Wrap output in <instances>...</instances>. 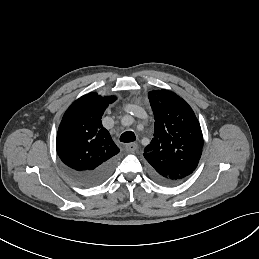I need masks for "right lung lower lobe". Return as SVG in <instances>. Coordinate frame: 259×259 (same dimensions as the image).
<instances>
[{"mask_svg": "<svg viewBox=\"0 0 259 259\" xmlns=\"http://www.w3.org/2000/svg\"><path fill=\"white\" fill-rule=\"evenodd\" d=\"M115 164L116 159L114 157L93 170L76 171L66 167V173L79 185L92 187L99 185L108 179L115 168Z\"/></svg>", "mask_w": 259, "mask_h": 259, "instance_id": "98d812e1", "label": "right lung lower lobe"}]
</instances>
